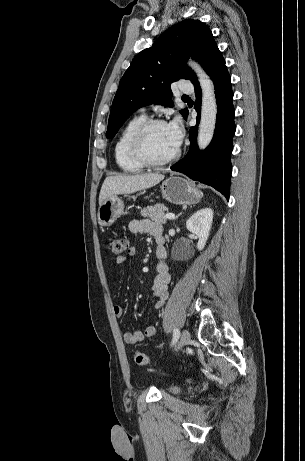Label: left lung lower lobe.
<instances>
[{
	"mask_svg": "<svg viewBox=\"0 0 305 461\" xmlns=\"http://www.w3.org/2000/svg\"><path fill=\"white\" fill-rule=\"evenodd\" d=\"M213 80L217 101V121L213 139L204 151H199L196 144L197 126L200 115H197V124L190 128V149L187 155L174 164L171 169L181 172L189 178L208 184L220 191L227 199L230 191L232 138L235 133L234 114L232 104L233 92L231 78L225 65L222 54L219 53L207 70ZM197 113L201 109V89L199 82L194 83ZM188 113L185 115L187 119Z\"/></svg>",
	"mask_w": 305,
	"mask_h": 461,
	"instance_id": "1",
	"label": "left lung lower lobe"
}]
</instances>
